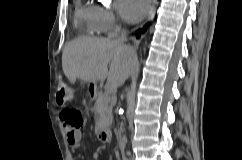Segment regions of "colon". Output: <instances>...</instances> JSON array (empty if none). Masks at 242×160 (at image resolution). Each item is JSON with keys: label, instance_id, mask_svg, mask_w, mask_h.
Instances as JSON below:
<instances>
[{"label": "colon", "instance_id": "5ec220e1", "mask_svg": "<svg viewBox=\"0 0 242 160\" xmlns=\"http://www.w3.org/2000/svg\"><path fill=\"white\" fill-rule=\"evenodd\" d=\"M72 93L70 87L64 80H59L57 84L56 102L59 106L65 107L62 110V117L75 129H79L83 124L81 112L73 107H66L70 102Z\"/></svg>", "mask_w": 242, "mask_h": 160}]
</instances>
